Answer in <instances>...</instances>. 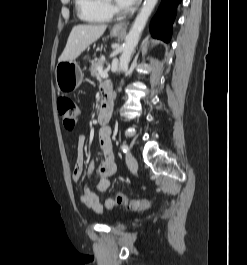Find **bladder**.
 Here are the masks:
<instances>
[{
	"label": "bladder",
	"instance_id": "1",
	"mask_svg": "<svg viewBox=\"0 0 247 265\" xmlns=\"http://www.w3.org/2000/svg\"><path fill=\"white\" fill-rule=\"evenodd\" d=\"M115 227L122 229V228H124V225L121 223H117V224H115Z\"/></svg>",
	"mask_w": 247,
	"mask_h": 265
}]
</instances>
